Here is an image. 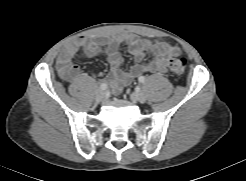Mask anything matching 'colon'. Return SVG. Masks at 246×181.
<instances>
[{"instance_id": "1", "label": "colon", "mask_w": 246, "mask_h": 181, "mask_svg": "<svg viewBox=\"0 0 246 181\" xmlns=\"http://www.w3.org/2000/svg\"><path fill=\"white\" fill-rule=\"evenodd\" d=\"M169 68L174 75H182L186 68V59L184 57H173L169 62Z\"/></svg>"}]
</instances>
